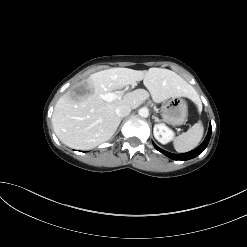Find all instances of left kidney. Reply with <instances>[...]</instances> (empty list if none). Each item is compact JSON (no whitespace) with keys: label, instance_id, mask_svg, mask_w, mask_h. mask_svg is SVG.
<instances>
[{"label":"left kidney","instance_id":"5707ae66","mask_svg":"<svg viewBox=\"0 0 247 247\" xmlns=\"http://www.w3.org/2000/svg\"><path fill=\"white\" fill-rule=\"evenodd\" d=\"M154 137L161 144H167L173 139L174 133L165 124H156L153 128Z\"/></svg>","mask_w":247,"mask_h":247}]
</instances>
